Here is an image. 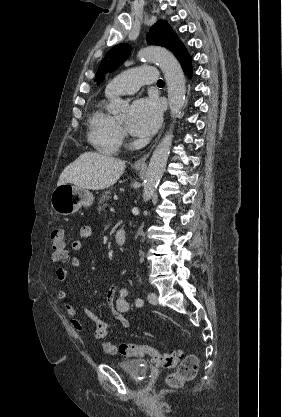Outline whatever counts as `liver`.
<instances>
[{
    "mask_svg": "<svg viewBox=\"0 0 282 417\" xmlns=\"http://www.w3.org/2000/svg\"><path fill=\"white\" fill-rule=\"evenodd\" d=\"M126 168L124 160L110 154L83 152L76 160L70 162L59 176L57 184L72 182L80 188H108L117 182Z\"/></svg>",
    "mask_w": 282,
    "mask_h": 417,
    "instance_id": "liver-1",
    "label": "liver"
}]
</instances>
